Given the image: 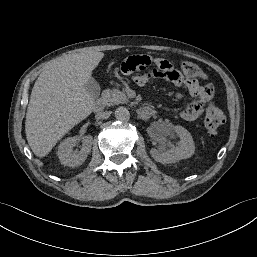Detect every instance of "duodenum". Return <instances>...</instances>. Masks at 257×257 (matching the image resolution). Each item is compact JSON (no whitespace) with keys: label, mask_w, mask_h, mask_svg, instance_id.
<instances>
[{"label":"duodenum","mask_w":257,"mask_h":257,"mask_svg":"<svg viewBox=\"0 0 257 257\" xmlns=\"http://www.w3.org/2000/svg\"><path fill=\"white\" fill-rule=\"evenodd\" d=\"M104 110V101L101 99V98H97L95 101H94V104H93V111L96 113V114H101ZM155 114V111L154 109L150 108V107H142L138 110V115L141 117V118H150L152 117L153 115Z\"/></svg>","instance_id":"duodenum-1"}]
</instances>
